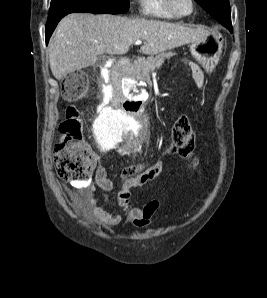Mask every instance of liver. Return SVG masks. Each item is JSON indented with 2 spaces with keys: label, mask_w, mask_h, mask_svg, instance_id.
Segmentation results:
<instances>
[{
  "label": "liver",
  "mask_w": 267,
  "mask_h": 298,
  "mask_svg": "<svg viewBox=\"0 0 267 298\" xmlns=\"http://www.w3.org/2000/svg\"><path fill=\"white\" fill-rule=\"evenodd\" d=\"M208 31L181 24L143 18L130 19L110 14L73 13L58 24L49 43L53 76L62 79L69 73L94 65L104 53L123 55L137 40L140 50L154 55L188 43L200 41Z\"/></svg>",
  "instance_id": "obj_1"
}]
</instances>
